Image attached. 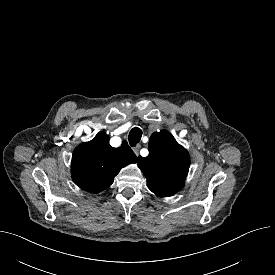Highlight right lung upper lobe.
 <instances>
[{
  "label": "right lung upper lobe",
  "mask_w": 275,
  "mask_h": 275,
  "mask_svg": "<svg viewBox=\"0 0 275 275\" xmlns=\"http://www.w3.org/2000/svg\"><path fill=\"white\" fill-rule=\"evenodd\" d=\"M136 162L137 157L126 141L120 147L113 148L109 145V136L100 132L74 150L72 179L83 190L98 193L113 183L122 167Z\"/></svg>",
  "instance_id": "1"
}]
</instances>
